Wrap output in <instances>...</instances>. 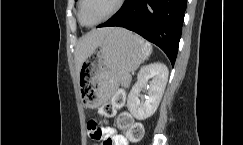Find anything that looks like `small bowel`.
Returning <instances> with one entry per match:
<instances>
[{
	"instance_id": "1",
	"label": "small bowel",
	"mask_w": 243,
	"mask_h": 145,
	"mask_svg": "<svg viewBox=\"0 0 243 145\" xmlns=\"http://www.w3.org/2000/svg\"><path fill=\"white\" fill-rule=\"evenodd\" d=\"M90 137L100 142V145H129L128 138L122 134H118L112 127L100 128L98 136L92 137L90 135Z\"/></svg>"
}]
</instances>
